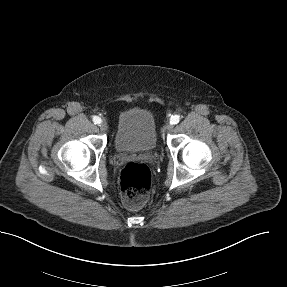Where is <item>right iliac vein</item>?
Listing matches in <instances>:
<instances>
[{
  "label": "right iliac vein",
  "mask_w": 287,
  "mask_h": 287,
  "mask_svg": "<svg viewBox=\"0 0 287 287\" xmlns=\"http://www.w3.org/2000/svg\"><path fill=\"white\" fill-rule=\"evenodd\" d=\"M100 129H101L102 131H107V130H108V125H107V123H106V122H101V123H100Z\"/></svg>",
  "instance_id": "obj_1"
}]
</instances>
